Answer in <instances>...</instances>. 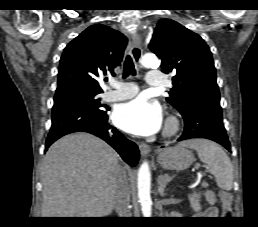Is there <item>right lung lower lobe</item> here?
Masks as SVG:
<instances>
[{"instance_id": "right-lung-lower-lobe-1", "label": "right lung lower lobe", "mask_w": 258, "mask_h": 227, "mask_svg": "<svg viewBox=\"0 0 258 227\" xmlns=\"http://www.w3.org/2000/svg\"><path fill=\"white\" fill-rule=\"evenodd\" d=\"M88 132L110 144L131 166L139 159L137 145L126 139L116 128L108 124V116L96 115L74 106H62L52 110V126L45 149L60 137L73 132Z\"/></svg>"}]
</instances>
